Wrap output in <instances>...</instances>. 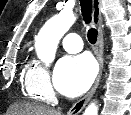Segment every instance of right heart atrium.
Wrapping results in <instances>:
<instances>
[{
	"mask_svg": "<svg viewBox=\"0 0 131 115\" xmlns=\"http://www.w3.org/2000/svg\"><path fill=\"white\" fill-rule=\"evenodd\" d=\"M27 91L40 100L50 103L55 97L48 70L39 62L30 66L26 73Z\"/></svg>",
	"mask_w": 131,
	"mask_h": 115,
	"instance_id": "right-heart-atrium-1",
	"label": "right heart atrium"
}]
</instances>
